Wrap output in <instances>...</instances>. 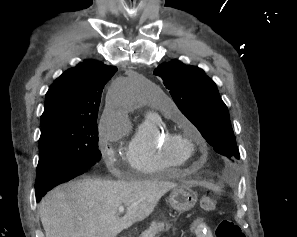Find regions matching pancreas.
<instances>
[{
    "label": "pancreas",
    "mask_w": 297,
    "mask_h": 237,
    "mask_svg": "<svg viewBox=\"0 0 297 237\" xmlns=\"http://www.w3.org/2000/svg\"><path fill=\"white\" fill-rule=\"evenodd\" d=\"M171 225L164 222H152L150 227L141 233L139 237H155L160 232L168 231Z\"/></svg>",
    "instance_id": "obj_1"
}]
</instances>
